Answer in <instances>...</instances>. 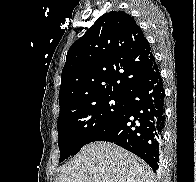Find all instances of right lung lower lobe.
Masks as SVG:
<instances>
[{"instance_id": "obj_1", "label": "right lung lower lobe", "mask_w": 196, "mask_h": 182, "mask_svg": "<svg viewBox=\"0 0 196 182\" xmlns=\"http://www.w3.org/2000/svg\"><path fill=\"white\" fill-rule=\"evenodd\" d=\"M165 91L157 64L125 97L122 112L101 129L92 141H109L141 157L154 172L165 121Z\"/></svg>"}]
</instances>
